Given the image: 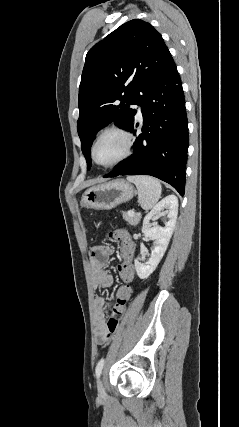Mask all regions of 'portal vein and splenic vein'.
<instances>
[{"label":"portal vein and splenic vein","mask_w":239,"mask_h":427,"mask_svg":"<svg viewBox=\"0 0 239 427\" xmlns=\"http://www.w3.org/2000/svg\"><path fill=\"white\" fill-rule=\"evenodd\" d=\"M128 215L133 216V215H135V212L130 210V211H128Z\"/></svg>","instance_id":"1"}]
</instances>
